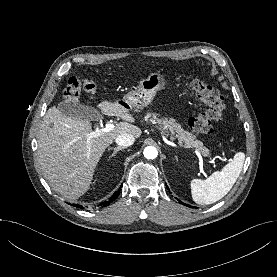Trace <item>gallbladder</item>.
Wrapping results in <instances>:
<instances>
[{
    "label": "gallbladder",
    "instance_id": "obj_1",
    "mask_svg": "<svg viewBox=\"0 0 277 277\" xmlns=\"http://www.w3.org/2000/svg\"><path fill=\"white\" fill-rule=\"evenodd\" d=\"M58 109L65 115L84 120H98L101 118L99 112L93 107L71 101H61L58 104Z\"/></svg>",
    "mask_w": 277,
    "mask_h": 277
}]
</instances>
